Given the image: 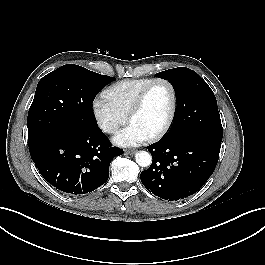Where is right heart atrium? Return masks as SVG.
<instances>
[{
    "mask_svg": "<svg viewBox=\"0 0 265 265\" xmlns=\"http://www.w3.org/2000/svg\"><path fill=\"white\" fill-rule=\"evenodd\" d=\"M92 113L98 127L106 134L116 133L127 122V117L104 98H96L93 101Z\"/></svg>",
    "mask_w": 265,
    "mask_h": 265,
    "instance_id": "1",
    "label": "right heart atrium"
}]
</instances>
